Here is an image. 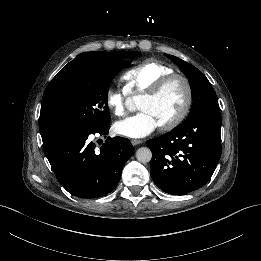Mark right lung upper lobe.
<instances>
[{"label": "right lung upper lobe", "instance_id": "1", "mask_svg": "<svg viewBox=\"0 0 261 261\" xmlns=\"http://www.w3.org/2000/svg\"><path fill=\"white\" fill-rule=\"evenodd\" d=\"M128 52H103L93 51L86 52L78 55L71 62L66 64L57 75L48 84L42 99V106L39 119L40 132H45L53 135L54 137L59 133L65 131V121L61 112L58 95L55 89L56 83L59 78L72 66L83 61H103L114 62L122 61Z\"/></svg>", "mask_w": 261, "mask_h": 261}]
</instances>
